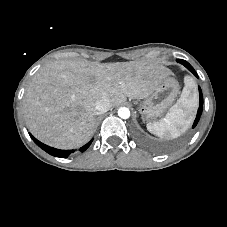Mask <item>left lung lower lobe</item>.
<instances>
[{
  "label": "left lung lower lobe",
  "instance_id": "0a47b994",
  "mask_svg": "<svg viewBox=\"0 0 227 227\" xmlns=\"http://www.w3.org/2000/svg\"><path fill=\"white\" fill-rule=\"evenodd\" d=\"M177 61L179 63H181L182 65H184L189 71H191L198 78L196 71L188 62H186L185 60H177ZM199 95H200V97H199V108H198L197 116L195 118V121L193 123L192 128L196 127V125H197V123L200 119V116L202 114V109H203V95H202V91H201L200 87H199Z\"/></svg>",
  "mask_w": 227,
  "mask_h": 227
}]
</instances>
